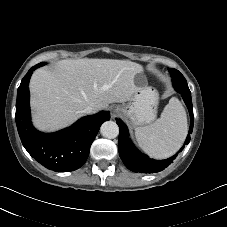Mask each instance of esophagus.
Listing matches in <instances>:
<instances>
[{
  "mask_svg": "<svg viewBox=\"0 0 227 227\" xmlns=\"http://www.w3.org/2000/svg\"><path fill=\"white\" fill-rule=\"evenodd\" d=\"M111 116L112 118L115 117L117 114H119L120 109L117 106H112L111 109Z\"/></svg>",
  "mask_w": 227,
  "mask_h": 227,
  "instance_id": "obj_1",
  "label": "esophagus"
}]
</instances>
